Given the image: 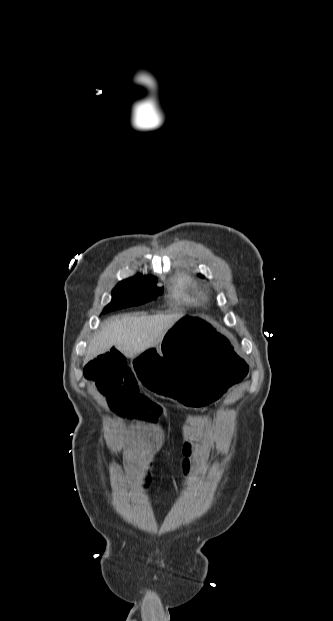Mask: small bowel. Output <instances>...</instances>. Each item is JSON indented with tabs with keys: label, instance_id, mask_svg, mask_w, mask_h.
<instances>
[{
	"label": "small bowel",
	"instance_id": "c3829d8e",
	"mask_svg": "<svg viewBox=\"0 0 333 621\" xmlns=\"http://www.w3.org/2000/svg\"><path fill=\"white\" fill-rule=\"evenodd\" d=\"M83 375L94 383L109 408L122 418L155 423L165 413L160 404L139 393L135 375L125 355L117 348L91 358L84 367ZM182 452L183 470L187 472L192 454L190 444H184Z\"/></svg>",
	"mask_w": 333,
	"mask_h": 621
}]
</instances>
